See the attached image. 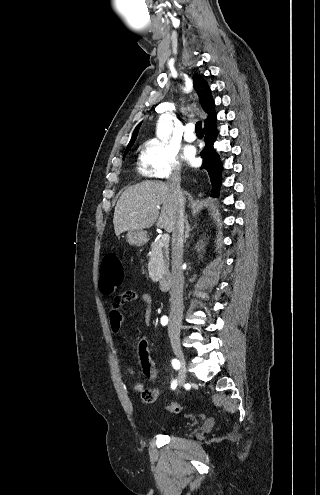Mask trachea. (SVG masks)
Returning a JSON list of instances; mask_svg holds the SVG:
<instances>
[{
  "mask_svg": "<svg viewBox=\"0 0 320 495\" xmlns=\"http://www.w3.org/2000/svg\"><path fill=\"white\" fill-rule=\"evenodd\" d=\"M195 131H196V134L197 135H203V131H202V122L201 121H198L195 125Z\"/></svg>",
  "mask_w": 320,
  "mask_h": 495,
  "instance_id": "obj_1",
  "label": "trachea"
}]
</instances>
